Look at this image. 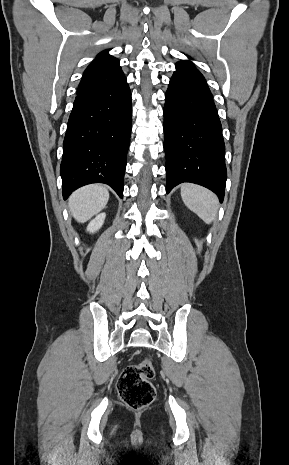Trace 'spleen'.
<instances>
[{
    "instance_id": "spleen-1",
    "label": "spleen",
    "mask_w": 289,
    "mask_h": 465,
    "mask_svg": "<svg viewBox=\"0 0 289 465\" xmlns=\"http://www.w3.org/2000/svg\"><path fill=\"white\" fill-rule=\"evenodd\" d=\"M184 204L196 213L206 224H210L218 210V199L210 190L192 183L181 185Z\"/></svg>"
}]
</instances>
